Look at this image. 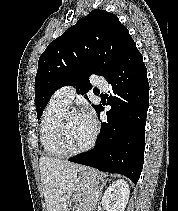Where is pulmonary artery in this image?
Masks as SVG:
<instances>
[{
    "instance_id": "e3ab8cb5",
    "label": "pulmonary artery",
    "mask_w": 178,
    "mask_h": 211,
    "mask_svg": "<svg viewBox=\"0 0 178 211\" xmlns=\"http://www.w3.org/2000/svg\"><path fill=\"white\" fill-rule=\"evenodd\" d=\"M91 83L94 86H97L99 89L105 91L107 86H106V81L103 78H98V77H93L91 79ZM76 90L74 86L67 85L61 87L57 92L56 95L66 104L70 105L75 97Z\"/></svg>"
}]
</instances>
